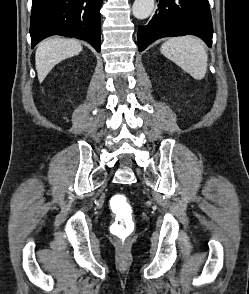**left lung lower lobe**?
Returning <instances> with one entry per match:
<instances>
[{
	"label": "left lung lower lobe",
	"mask_w": 249,
	"mask_h": 294,
	"mask_svg": "<svg viewBox=\"0 0 249 294\" xmlns=\"http://www.w3.org/2000/svg\"><path fill=\"white\" fill-rule=\"evenodd\" d=\"M193 34L211 47L212 19L208 0H159V9L146 26L138 28V48L143 51L162 37Z\"/></svg>",
	"instance_id": "1"
}]
</instances>
